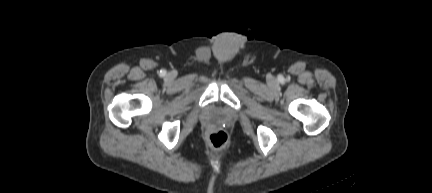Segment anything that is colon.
I'll return each instance as SVG.
<instances>
[{
  "mask_svg": "<svg viewBox=\"0 0 432 193\" xmlns=\"http://www.w3.org/2000/svg\"><path fill=\"white\" fill-rule=\"evenodd\" d=\"M209 142L212 147L221 149L226 146L228 142V136L224 131H214L209 135Z\"/></svg>",
  "mask_w": 432,
  "mask_h": 193,
  "instance_id": "obj_1",
  "label": "colon"
}]
</instances>
